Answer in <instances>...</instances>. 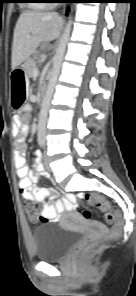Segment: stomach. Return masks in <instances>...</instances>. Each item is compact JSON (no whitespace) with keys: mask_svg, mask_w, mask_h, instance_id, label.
Masks as SVG:
<instances>
[{"mask_svg":"<svg viewBox=\"0 0 136 296\" xmlns=\"http://www.w3.org/2000/svg\"><path fill=\"white\" fill-rule=\"evenodd\" d=\"M12 84H26V69H12ZM28 85H11V108L13 111H21L25 101H29V96L25 93Z\"/></svg>","mask_w":136,"mask_h":296,"instance_id":"stomach-1","label":"stomach"}]
</instances>
